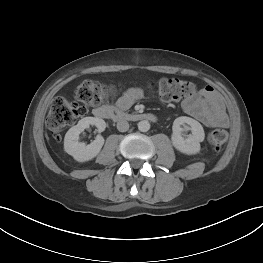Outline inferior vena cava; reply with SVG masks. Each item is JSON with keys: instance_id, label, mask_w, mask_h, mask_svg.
<instances>
[{"instance_id": "inferior-vena-cava-1", "label": "inferior vena cava", "mask_w": 263, "mask_h": 263, "mask_svg": "<svg viewBox=\"0 0 263 263\" xmlns=\"http://www.w3.org/2000/svg\"><path fill=\"white\" fill-rule=\"evenodd\" d=\"M117 129L120 132H126L129 129V123L126 120H120L117 122Z\"/></svg>"}]
</instances>
